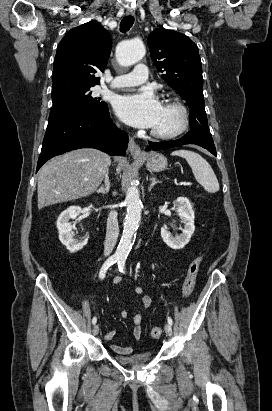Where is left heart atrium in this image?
I'll list each match as a JSON object with an SVG mask.
<instances>
[{
  "label": "left heart atrium",
  "instance_id": "1",
  "mask_svg": "<svg viewBox=\"0 0 272 411\" xmlns=\"http://www.w3.org/2000/svg\"><path fill=\"white\" fill-rule=\"evenodd\" d=\"M161 104L150 91L118 96L114 103L117 115L137 128H153L158 121Z\"/></svg>",
  "mask_w": 272,
  "mask_h": 411
}]
</instances>
